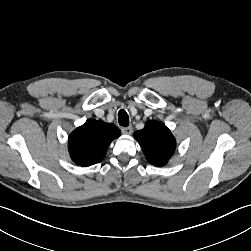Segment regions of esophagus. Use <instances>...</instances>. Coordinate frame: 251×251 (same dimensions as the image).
<instances>
[{
  "label": "esophagus",
  "mask_w": 251,
  "mask_h": 251,
  "mask_svg": "<svg viewBox=\"0 0 251 251\" xmlns=\"http://www.w3.org/2000/svg\"><path fill=\"white\" fill-rule=\"evenodd\" d=\"M132 132H133V128L131 126L122 128V133L125 135H130L132 134Z\"/></svg>",
  "instance_id": "1"
}]
</instances>
